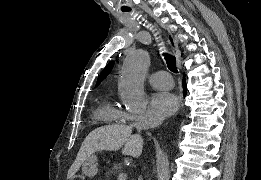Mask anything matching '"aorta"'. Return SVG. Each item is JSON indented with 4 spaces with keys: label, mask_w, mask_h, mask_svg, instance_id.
Instances as JSON below:
<instances>
[{
    "label": "aorta",
    "mask_w": 261,
    "mask_h": 180,
    "mask_svg": "<svg viewBox=\"0 0 261 180\" xmlns=\"http://www.w3.org/2000/svg\"><path fill=\"white\" fill-rule=\"evenodd\" d=\"M149 65L150 56L143 49L129 51L124 60L118 89L122 103L133 112L146 108L144 79Z\"/></svg>",
    "instance_id": "762f6f07"
}]
</instances>
